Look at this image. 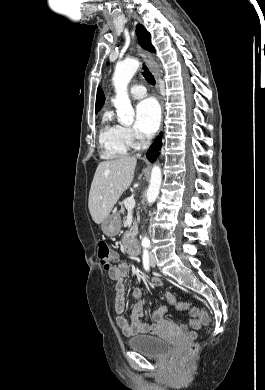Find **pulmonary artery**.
I'll return each mask as SVG.
<instances>
[{"label": "pulmonary artery", "instance_id": "pulmonary-artery-1", "mask_svg": "<svg viewBox=\"0 0 265 390\" xmlns=\"http://www.w3.org/2000/svg\"><path fill=\"white\" fill-rule=\"evenodd\" d=\"M147 93L146 88L143 85L136 84L130 88V94L136 99L143 98Z\"/></svg>", "mask_w": 265, "mask_h": 390}]
</instances>
